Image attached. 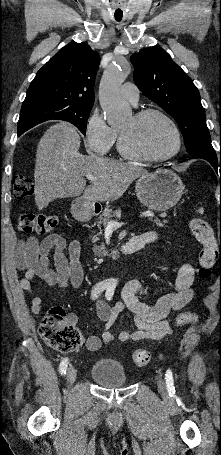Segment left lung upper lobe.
<instances>
[{
  "instance_id": "5c2ea615",
  "label": "left lung upper lobe",
  "mask_w": 221,
  "mask_h": 455,
  "mask_svg": "<svg viewBox=\"0 0 221 455\" xmlns=\"http://www.w3.org/2000/svg\"><path fill=\"white\" fill-rule=\"evenodd\" d=\"M130 60L137 87L176 120L188 154L215 152L198 89L169 54L154 46L133 54Z\"/></svg>"
}]
</instances>
